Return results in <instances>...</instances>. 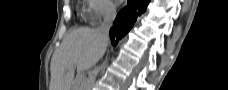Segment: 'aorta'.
Returning <instances> with one entry per match:
<instances>
[{
  "label": "aorta",
  "mask_w": 228,
  "mask_h": 90,
  "mask_svg": "<svg viewBox=\"0 0 228 90\" xmlns=\"http://www.w3.org/2000/svg\"><path fill=\"white\" fill-rule=\"evenodd\" d=\"M96 76L97 71H95L92 75L86 78L81 85V90H92Z\"/></svg>",
  "instance_id": "aorta-1"
}]
</instances>
